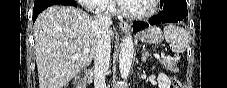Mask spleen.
Returning a JSON list of instances; mask_svg holds the SVG:
<instances>
[{"instance_id":"obj_1","label":"spleen","mask_w":227,"mask_h":88,"mask_svg":"<svg viewBox=\"0 0 227 88\" xmlns=\"http://www.w3.org/2000/svg\"><path fill=\"white\" fill-rule=\"evenodd\" d=\"M164 37L175 53H183L189 44V32L183 27L169 24L164 27Z\"/></svg>"}]
</instances>
